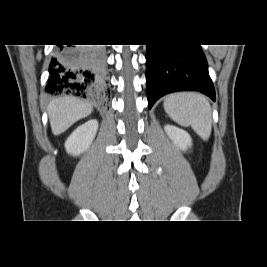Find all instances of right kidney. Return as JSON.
I'll list each match as a JSON object with an SVG mask.
<instances>
[{
  "label": "right kidney",
  "instance_id": "ca27d5eb",
  "mask_svg": "<svg viewBox=\"0 0 267 267\" xmlns=\"http://www.w3.org/2000/svg\"><path fill=\"white\" fill-rule=\"evenodd\" d=\"M97 130L98 121L94 119L79 126L66 140V151L73 156H79L85 152L95 138Z\"/></svg>",
  "mask_w": 267,
  "mask_h": 267
}]
</instances>
